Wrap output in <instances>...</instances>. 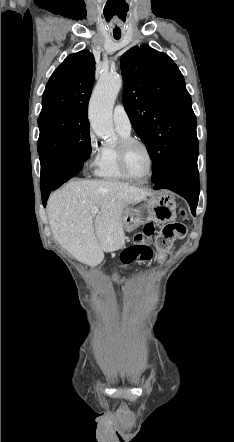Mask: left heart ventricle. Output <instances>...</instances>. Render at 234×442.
<instances>
[{
    "instance_id": "left-heart-ventricle-1",
    "label": "left heart ventricle",
    "mask_w": 234,
    "mask_h": 442,
    "mask_svg": "<svg viewBox=\"0 0 234 442\" xmlns=\"http://www.w3.org/2000/svg\"><path fill=\"white\" fill-rule=\"evenodd\" d=\"M129 171L137 178H146L149 174V158L146 151L138 145L132 146L127 154Z\"/></svg>"
}]
</instances>
